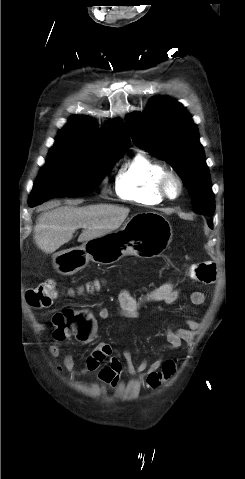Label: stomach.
<instances>
[{
	"label": "stomach",
	"mask_w": 245,
	"mask_h": 479,
	"mask_svg": "<svg viewBox=\"0 0 245 479\" xmlns=\"http://www.w3.org/2000/svg\"><path fill=\"white\" fill-rule=\"evenodd\" d=\"M172 236V227L163 215L141 212L131 216L117 231L57 252L53 264L59 273L72 275L89 261L109 265L128 255L154 258L163 253Z\"/></svg>",
	"instance_id": "stomach-1"
}]
</instances>
